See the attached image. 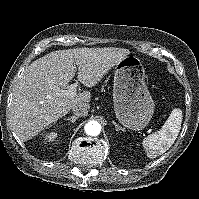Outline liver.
I'll use <instances>...</instances> for the list:
<instances>
[{
	"instance_id": "1",
	"label": "liver",
	"mask_w": 199,
	"mask_h": 199,
	"mask_svg": "<svg viewBox=\"0 0 199 199\" xmlns=\"http://www.w3.org/2000/svg\"><path fill=\"white\" fill-rule=\"evenodd\" d=\"M129 54L128 49L122 48H76L50 52L32 62L13 91L10 116L16 135L27 141L76 104L89 108L90 92L83 91L74 98L61 93L75 76V64L78 80L93 87Z\"/></svg>"
}]
</instances>
